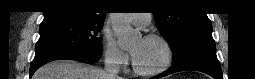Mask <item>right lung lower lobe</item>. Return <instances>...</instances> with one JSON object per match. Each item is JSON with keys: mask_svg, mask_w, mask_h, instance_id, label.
<instances>
[{"mask_svg": "<svg viewBox=\"0 0 255 79\" xmlns=\"http://www.w3.org/2000/svg\"><path fill=\"white\" fill-rule=\"evenodd\" d=\"M101 55L102 54L94 55L89 53H80L64 50H54L37 53L35 54L34 60L31 63L29 74L31 77L39 67L54 60L69 59L93 64L100 59Z\"/></svg>", "mask_w": 255, "mask_h": 79, "instance_id": "1", "label": "right lung lower lobe"}]
</instances>
